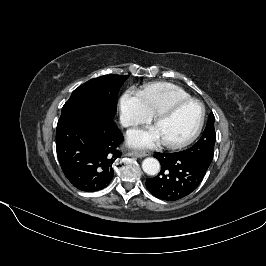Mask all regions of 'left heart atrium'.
Listing matches in <instances>:
<instances>
[{
  "instance_id": "left-heart-atrium-1",
  "label": "left heart atrium",
  "mask_w": 266,
  "mask_h": 266,
  "mask_svg": "<svg viewBox=\"0 0 266 266\" xmlns=\"http://www.w3.org/2000/svg\"><path fill=\"white\" fill-rule=\"evenodd\" d=\"M128 141L132 146L137 147H152L163 142L155 127L130 131Z\"/></svg>"
}]
</instances>
